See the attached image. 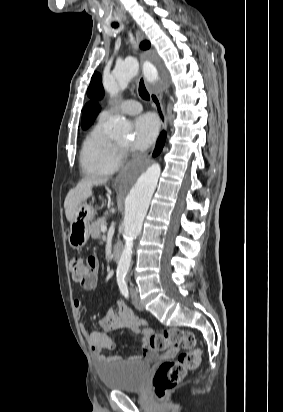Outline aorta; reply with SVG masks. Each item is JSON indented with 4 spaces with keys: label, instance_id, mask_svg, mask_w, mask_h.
<instances>
[{
    "label": "aorta",
    "instance_id": "1",
    "mask_svg": "<svg viewBox=\"0 0 283 412\" xmlns=\"http://www.w3.org/2000/svg\"><path fill=\"white\" fill-rule=\"evenodd\" d=\"M139 63L135 59H127L122 62L114 74L103 80L105 91L114 98L120 89H125L129 82L138 74ZM143 72L150 82L158 80L155 65L146 60L143 62ZM130 131V125L123 116H116L111 120L110 137L118 138ZM160 176L158 164H152L144 168L129 170L125 173L121 192L125 197V218L123 247L118 265L117 277L124 278L130 269L134 239L141 233L144 218L156 189Z\"/></svg>",
    "mask_w": 283,
    "mask_h": 412
}]
</instances>
